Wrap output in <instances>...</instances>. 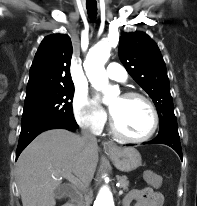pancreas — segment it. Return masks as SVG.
I'll return each instance as SVG.
<instances>
[{
    "instance_id": "cf45deb5",
    "label": "pancreas",
    "mask_w": 197,
    "mask_h": 206,
    "mask_svg": "<svg viewBox=\"0 0 197 206\" xmlns=\"http://www.w3.org/2000/svg\"><path fill=\"white\" fill-rule=\"evenodd\" d=\"M117 181L120 183V186L124 189V190H128V186H129V181L127 180V177L125 175L122 176H117ZM81 201L77 202L76 206H81Z\"/></svg>"
}]
</instances>
